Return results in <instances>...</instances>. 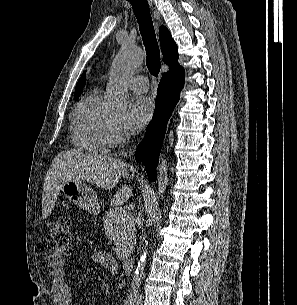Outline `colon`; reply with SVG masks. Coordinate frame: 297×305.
I'll return each instance as SVG.
<instances>
[{
  "label": "colon",
  "instance_id": "1",
  "mask_svg": "<svg viewBox=\"0 0 297 305\" xmlns=\"http://www.w3.org/2000/svg\"><path fill=\"white\" fill-rule=\"evenodd\" d=\"M71 219L67 215L57 218L49 235L48 251L50 254H66L71 242Z\"/></svg>",
  "mask_w": 297,
  "mask_h": 305
}]
</instances>
